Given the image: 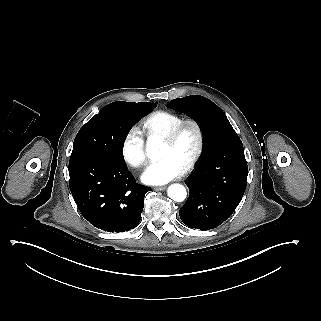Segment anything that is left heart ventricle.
<instances>
[{
	"label": "left heart ventricle",
	"mask_w": 321,
	"mask_h": 321,
	"mask_svg": "<svg viewBox=\"0 0 321 321\" xmlns=\"http://www.w3.org/2000/svg\"><path fill=\"white\" fill-rule=\"evenodd\" d=\"M197 146V133L193 126L184 129L180 139L175 145L163 140V156L173 155L183 167L193 155Z\"/></svg>",
	"instance_id": "obj_1"
}]
</instances>
